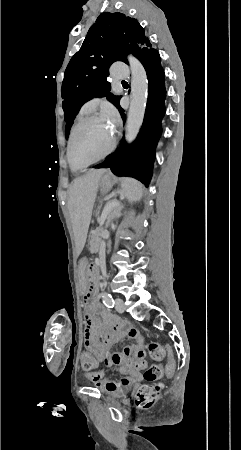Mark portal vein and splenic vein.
Returning a JSON list of instances; mask_svg holds the SVG:
<instances>
[{"instance_id": "obj_1", "label": "portal vein and splenic vein", "mask_w": 241, "mask_h": 450, "mask_svg": "<svg viewBox=\"0 0 241 450\" xmlns=\"http://www.w3.org/2000/svg\"><path fill=\"white\" fill-rule=\"evenodd\" d=\"M118 206L119 207H122L123 206V203L122 202H119L118 203ZM115 204L113 203V202H109L108 204H106V206H105V208H103V210H102V217H100V220H99V225H104V223H105V218H107V216H109V213H115L117 210L115 209Z\"/></svg>"}]
</instances>
